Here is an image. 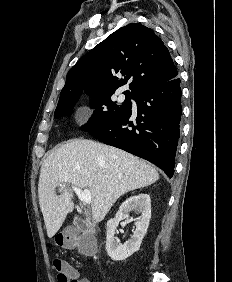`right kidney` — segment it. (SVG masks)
Returning <instances> with one entry per match:
<instances>
[{"label":"right kidney","mask_w":232,"mask_h":282,"mask_svg":"<svg viewBox=\"0 0 232 282\" xmlns=\"http://www.w3.org/2000/svg\"><path fill=\"white\" fill-rule=\"evenodd\" d=\"M133 210L141 215L139 220L135 222L136 229L134 234L124 244L116 242L114 234L119 222L129 219V213ZM150 219L151 199L149 195L138 194L122 203L115 217L106 224V251L112 260H124L139 250L142 239L147 232Z\"/></svg>","instance_id":"ca27d5eb"}]
</instances>
